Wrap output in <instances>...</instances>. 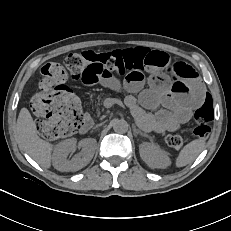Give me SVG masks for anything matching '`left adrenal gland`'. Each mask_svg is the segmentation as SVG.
Instances as JSON below:
<instances>
[{"mask_svg": "<svg viewBox=\"0 0 231 231\" xmlns=\"http://www.w3.org/2000/svg\"><path fill=\"white\" fill-rule=\"evenodd\" d=\"M134 135L137 136L138 134L144 137H149L147 134L141 132L140 130H138L136 127H134L133 129Z\"/></svg>", "mask_w": 231, "mask_h": 231, "instance_id": "left-adrenal-gland-1", "label": "left adrenal gland"}]
</instances>
